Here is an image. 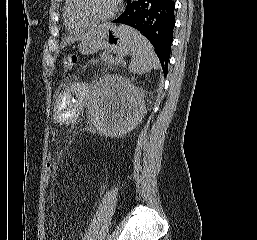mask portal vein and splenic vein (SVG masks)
<instances>
[{"mask_svg":"<svg viewBox=\"0 0 257 240\" xmlns=\"http://www.w3.org/2000/svg\"><path fill=\"white\" fill-rule=\"evenodd\" d=\"M117 60L120 62V61H121V58L119 57V58H117Z\"/></svg>","mask_w":257,"mask_h":240,"instance_id":"obj_1","label":"portal vein and splenic vein"}]
</instances>
